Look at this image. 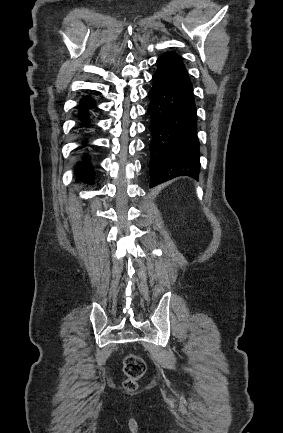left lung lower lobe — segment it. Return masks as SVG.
<instances>
[{
  "mask_svg": "<svg viewBox=\"0 0 283 433\" xmlns=\"http://www.w3.org/2000/svg\"><path fill=\"white\" fill-rule=\"evenodd\" d=\"M157 64L147 109L151 187L180 176L198 179L200 171L196 107L185 66L174 52L163 54Z\"/></svg>",
  "mask_w": 283,
  "mask_h": 433,
  "instance_id": "left-lung-lower-lobe-1",
  "label": "left lung lower lobe"
}]
</instances>
